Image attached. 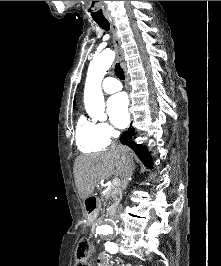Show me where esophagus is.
<instances>
[{"label": "esophagus", "instance_id": "34e87169", "mask_svg": "<svg viewBox=\"0 0 221 266\" xmlns=\"http://www.w3.org/2000/svg\"><path fill=\"white\" fill-rule=\"evenodd\" d=\"M110 25H111V29H112V36H113V41L116 47V54H117V59L121 62L124 59V53H123V49L121 46V40L118 36V32H117V28L113 22L112 19L109 20Z\"/></svg>", "mask_w": 221, "mask_h": 266}]
</instances>
